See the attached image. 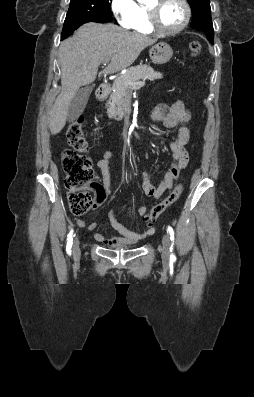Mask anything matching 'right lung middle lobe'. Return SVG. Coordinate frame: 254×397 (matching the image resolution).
I'll list each match as a JSON object with an SVG mask.
<instances>
[{
    "label": "right lung middle lobe",
    "mask_w": 254,
    "mask_h": 397,
    "mask_svg": "<svg viewBox=\"0 0 254 397\" xmlns=\"http://www.w3.org/2000/svg\"><path fill=\"white\" fill-rule=\"evenodd\" d=\"M112 0H71L65 21L87 19L104 23L112 20L110 11Z\"/></svg>",
    "instance_id": "obj_1"
}]
</instances>
